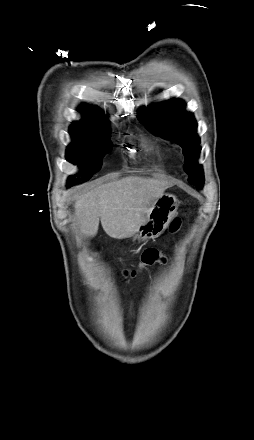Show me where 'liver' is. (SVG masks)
<instances>
[{
    "instance_id": "6515ba94",
    "label": "liver",
    "mask_w": 254,
    "mask_h": 440,
    "mask_svg": "<svg viewBox=\"0 0 254 440\" xmlns=\"http://www.w3.org/2000/svg\"><path fill=\"white\" fill-rule=\"evenodd\" d=\"M169 186L167 181L140 176L101 184L76 199V223L88 237L97 234L99 220L108 236L115 239L132 237Z\"/></svg>"
}]
</instances>
